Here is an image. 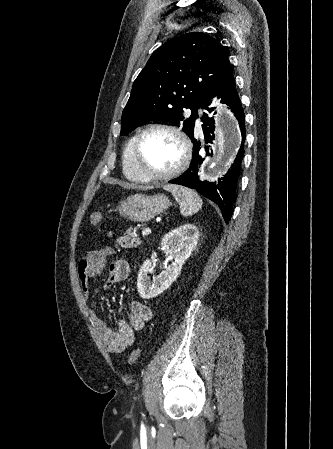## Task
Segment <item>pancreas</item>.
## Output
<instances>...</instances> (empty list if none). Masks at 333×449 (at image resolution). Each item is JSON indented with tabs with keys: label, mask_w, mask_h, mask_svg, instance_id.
I'll return each instance as SVG.
<instances>
[{
	"label": "pancreas",
	"mask_w": 333,
	"mask_h": 449,
	"mask_svg": "<svg viewBox=\"0 0 333 449\" xmlns=\"http://www.w3.org/2000/svg\"><path fill=\"white\" fill-rule=\"evenodd\" d=\"M117 243L123 248H134L141 244V240L137 237V234L131 229H127L124 236L117 239Z\"/></svg>",
	"instance_id": "cf45deb5"
}]
</instances>
